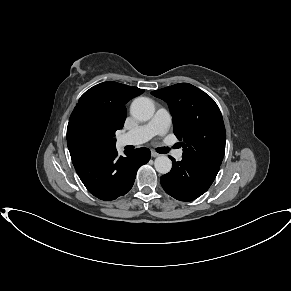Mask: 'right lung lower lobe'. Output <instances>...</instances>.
I'll return each mask as SVG.
<instances>
[{"instance_id": "98d812e1", "label": "right lung lower lobe", "mask_w": 291, "mask_h": 291, "mask_svg": "<svg viewBox=\"0 0 291 291\" xmlns=\"http://www.w3.org/2000/svg\"><path fill=\"white\" fill-rule=\"evenodd\" d=\"M78 176L95 197L109 201L125 195L133 186L137 170L151 156L149 149L139 148L119 156L116 147L89 141L67 140Z\"/></svg>"}]
</instances>
